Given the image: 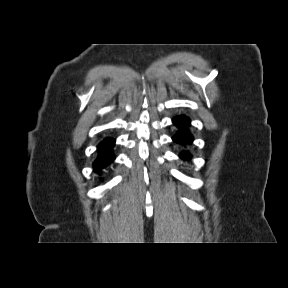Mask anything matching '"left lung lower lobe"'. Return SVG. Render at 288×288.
Wrapping results in <instances>:
<instances>
[{
	"label": "left lung lower lobe",
	"instance_id": "1",
	"mask_svg": "<svg viewBox=\"0 0 288 288\" xmlns=\"http://www.w3.org/2000/svg\"><path fill=\"white\" fill-rule=\"evenodd\" d=\"M173 123L179 127V131L172 138L173 141H175L176 143L183 144L184 146L190 145L193 141V136L187 130V128L190 125V119L184 115L177 116L173 118ZM179 156L184 160H188L191 158V155L188 152H182L180 153Z\"/></svg>",
	"mask_w": 288,
	"mask_h": 288
}]
</instances>
